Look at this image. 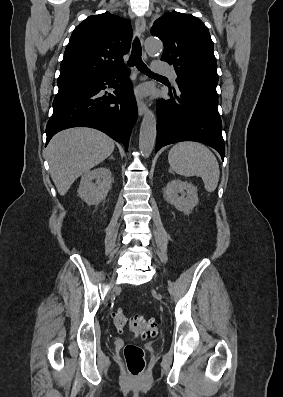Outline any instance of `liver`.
Instances as JSON below:
<instances>
[{
  "label": "liver",
  "mask_w": 283,
  "mask_h": 397,
  "mask_svg": "<svg viewBox=\"0 0 283 397\" xmlns=\"http://www.w3.org/2000/svg\"><path fill=\"white\" fill-rule=\"evenodd\" d=\"M114 141L91 128H71L57 133L47 147L50 175L60 195H65L83 173L109 157Z\"/></svg>",
  "instance_id": "1"
}]
</instances>
